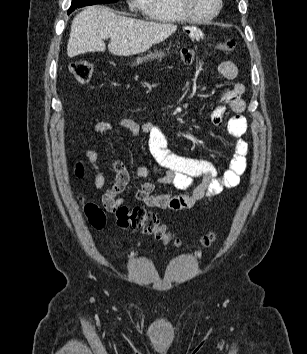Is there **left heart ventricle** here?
<instances>
[{
  "label": "left heart ventricle",
  "instance_id": "obj_1",
  "mask_svg": "<svg viewBox=\"0 0 307 354\" xmlns=\"http://www.w3.org/2000/svg\"><path fill=\"white\" fill-rule=\"evenodd\" d=\"M191 11L198 16H209L217 8V0H189Z\"/></svg>",
  "mask_w": 307,
  "mask_h": 354
}]
</instances>
